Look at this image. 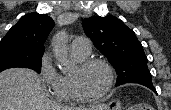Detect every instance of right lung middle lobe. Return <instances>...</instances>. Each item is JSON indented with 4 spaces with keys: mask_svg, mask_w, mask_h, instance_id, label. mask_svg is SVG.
I'll return each mask as SVG.
<instances>
[{
    "mask_svg": "<svg viewBox=\"0 0 171 110\" xmlns=\"http://www.w3.org/2000/svg\"><path fill=\"white\" fill-rule=\"evenodd\" d=\"M43 53H35L15 45H0V72L13 67H24L40 73Z\"/></svg>",
    "mask_w": 171,
    "mask_h": 110,
    "instance_id": "1",
    "label": "right lung middle lobe"
}]
</instances>
